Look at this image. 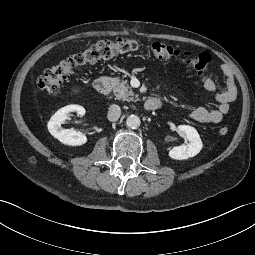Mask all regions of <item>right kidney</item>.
Returning <instances> with one entry per match:
<instances>
[{"instance_id": "right-kidney-1", "label": "right kidney", "mask_w": 255, "mask_h": 255, "mask_svg": "<svg viewBox=\"0 0 255 255\" xmlns=\"http://www.w3.org/2000/svg\"><path fill=\"white\" fill-rule=\"evenodd\" d=\"M76 112L80 116L85 115V108L80 105H68L59 109L49 120L48 130L51 135L61 143L70 146H80L87 142V137L74 129H63L62 124L67 119V114Z\"/></svg>"}]
</instances>
